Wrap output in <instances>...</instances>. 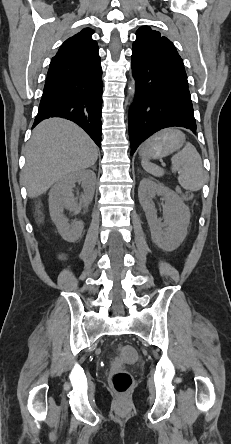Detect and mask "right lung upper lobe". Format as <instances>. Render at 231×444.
I'll return each instance as SVG.
<instances>
[{"label":"right lung upper lobe","instance_id":"obj_1","mask_svg":"<svg viewBox=\"0 0 231 444\" xmlns=\"http://www.w3.org/2000/svg\"><path fill=\"white\" fill-rule=\"evenodd\" d=\"M85 28L67 39L52 58L46 82L95 71L101 67L98 45Z\"/></svg>","mask_w":231,"mask_h":444}]
</instances>
